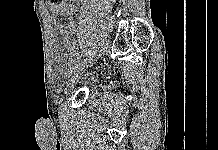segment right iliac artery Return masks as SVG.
Masks as SVG:
<instances>
[{"label":"right iliac artery","mask_w":218,"mask_h":150,"mask_svg":"<svg viewBox=\"0 0 218 150\" xmlns=\"http://www.w3.org/2000/svg\"><path fill=\"white\" fill-rule=\"evenodd\" d=\"M79 53L82 55L84 52L81 50ZM79 53H76V54H75V56H74V58H73L74 61H77L78 58L81 57ZM76 58H77V60H76Z\"/></svg>","instance_id":"82829eb1"}]
</instances>
